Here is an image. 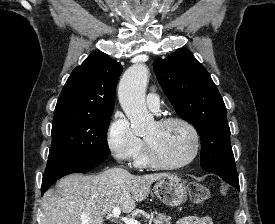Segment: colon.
Masks as SVG:
<instances>
[{"instance_id": "colon-1", "label": "colon", "mask_w": 275, "mask_h": 224, "mask_svg": "<svg viewBox=\"0 0 275 224\" xmlns=\"http://www.w3.org/2000/svg\"><path fill=\"white\" fill-rule=\"evenodd\" d=\"M190 199L194 204H201L206 202L210 197L209 189L197 182H191L188 185Z\"/></svg>"}]
</instances>
